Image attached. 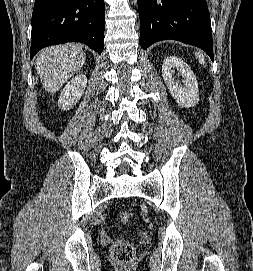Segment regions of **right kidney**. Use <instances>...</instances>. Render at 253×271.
<instances>
[{"label": "right kidney", "mask_w": 253, "mask_h": 271, "mask_svg": "<svg viewBox=\"0 0 253 271\" xmlns=\"http://www.w3.org/2000/svg\"><path fill=\"white\" fill-rule=\"evenodd\" d=\"M87 84V77L85 75H77L72 78L62 90L58 105L63 110H69L78 103L84 93Z\"/></svg>", "instance_id": "1"}]
</instances>
